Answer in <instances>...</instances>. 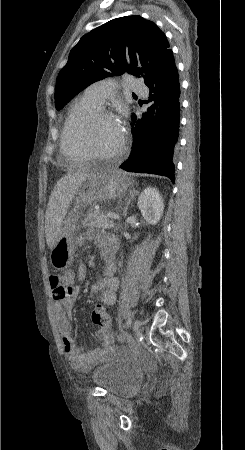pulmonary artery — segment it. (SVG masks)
<instances>
[{
	"label": "pulmonary artery",
	"instance_id": "e3ab8cb5",
	"mask_svg": "<svg viewBox=\"0 0 245 450\" xmlns=\"http://www.w3.org/2000/svg\"><path fill=\"white\" fill-rule=\"evenodd\" d=\"M122 83L128 88L129 92L140 93L144 88V83L135 77H124ZM117 92L115 81L112 79H105L97 81L89 85L84 94L87 98L93 101L98 106H102L108 97L114 96Z\"/></svg>",
	"mask_w": 245,
	"mask_h": 450
}]
</instances>
